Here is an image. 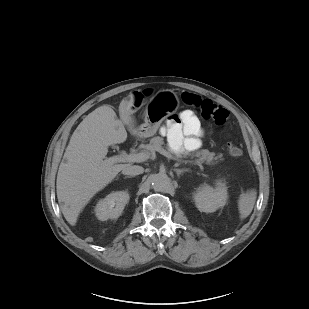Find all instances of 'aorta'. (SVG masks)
Returning <instances> with one entry per match:
<instances>
[{
  "instance_id": "obj_1",
  "label": "aorta",
  "mask_w": 309,
  "mask_h": 309,
  "mask_svg": "<svg viewBox=\"0 0 309 309\" xmlns=\"http://www.w3.org/2000/svg\"><path fill=\"white\" fill-rule=\"evenodd\" d=\"M152 187L155 191H166L170 185V179L166 174H154L151 179Z\"/></svg>"
}]
</instances>
